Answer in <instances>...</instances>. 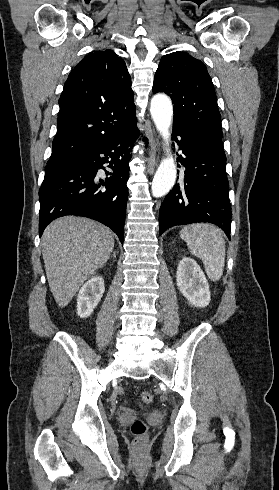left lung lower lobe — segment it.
I'll return each mask as SVG.
<instances>
[{"mask_svg": "<svg viewBox=\"0 0 279 490\" xmlns=\"http://www.w3.org/2000/svg\"><path fill=\"white\" fill-rule=\"evenodd\" d=\"M173 138L182 150L177 161L184 165V181L162 203L159 234L177 225L208 222L230 239L232 212L222 139L175 122Z\"/></svg>", "mask_w": 279, "mask_h": 490, "instance_id": "0a47b994", "label": "left lung lower lobe"}]
</instances>
